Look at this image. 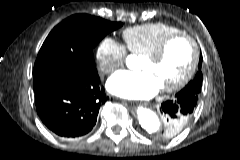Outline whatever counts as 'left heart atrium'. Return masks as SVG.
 Instances as JSON below:
<instances>
[{
	"label": "left heart atrium",
	"mask_w": 240,
	"mask_h": 160,
	"mask_svg": "<svg viewBox=\"0 0 240 160\" xmlns=\"http://www.w3.org/2000/svg\"><path fill=\"white\" fill-rule=\"evenodd\" d=\"M107 88L111 93L124 98L148 99L156 95L161 87L150 72L121 70L110 77Z\"/></svg>",
	"instance_id": "obj_1"
}]
</instances>
